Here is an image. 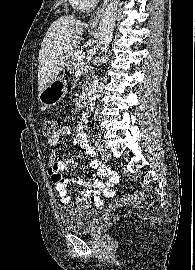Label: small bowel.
Segmentation results:
<instances>
[{"instance_id":"c3829d8e","label":"small bowel","mask_w":195,"mask_h":270,"mask_svg":"<svg viewBox=\"0 0 195 270\" xmlns=\"http://www.w3.org/2000/svg\"><path fill=\"white\" fill-rule=\"evenodd\" d=\"M85 129L86 121L82 119L73 139V144L80 146L82 151L92 158L90 167L93 170V181L85 180L82 177H74L71 174L67 176L61 174L62 171L72 172L78 166L74 160H59L55 153V148L60 138L70 134L68 126H62L47 140L48 145L52 149L48 173L63 204H69L71 202V197L67 192V186L71 183H76L84 188L76 197L77 202H89L95 205H102L103 201L100 195L112 198L116 194L114 186L118 182V175L115 171L111 170L109 166L103 164L95 157V152L88 141Z\"/></svg>"}]
</instances>
